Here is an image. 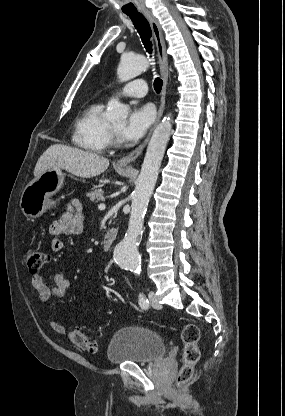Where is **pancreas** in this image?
<instances>
[{
  "label": "pancreas",
  "instance_id": "1",
  "mask_svg": "<svg viewBox=\"0 0 285 416\" xmlns=\"http://www.w3.org/2000/svg\"><path fill=\"white\" fill-rule=\"evenodd\" d=\"M87 198H90V202H104V192L102 190H94V192H89L86 194Z\"/></svg>",
  "mask_w": 285,
  "mask_h": 416
}]
</instances>
